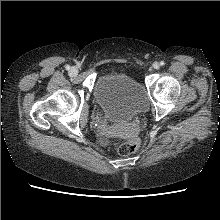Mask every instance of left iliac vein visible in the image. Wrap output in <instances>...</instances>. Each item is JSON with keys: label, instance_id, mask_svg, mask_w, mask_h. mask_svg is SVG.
Listing matches in <instances>:
<instances>
[{"label": "left iliac vein", "instance_id": "4c4485c4", "mask_svg": "<svg viewBox=\"0 0 220 220\" xmlns=\"http://www.w3.org/2000/svg\"><path fill=\"white\" fill-rule=\"evenodd\" d=\"M159 67H160L159 63H157V62L153 63V68L154 69H159Z\"/></svg>", "mask_w": 220, "mask_h": 220}]
</instances>
